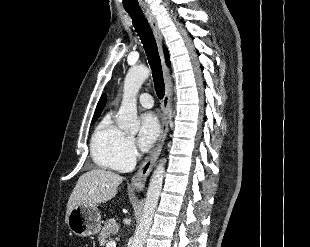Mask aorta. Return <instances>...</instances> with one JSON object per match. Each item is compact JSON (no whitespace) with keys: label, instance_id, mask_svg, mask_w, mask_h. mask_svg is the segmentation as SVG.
<instances>
[{"label":"aorta","instance_id":"obj_1","mask_svg":"<svg viewBox=\"0 0 310 247\" xmlns=\"http://www.w3.org/2000/svg\"><path fill=\"white\" fill-rule=\"evenodd\" d=\"M149 75L150 71L147 67H132L124 80L123 99L118 112L117 124L120 129L131 134L137 133L140 128V122L137 117V94ZM165 162V159H161L151 176L143 214L136 227L131 247L144 246L161 194Z\"/></svg>","mask_w":310,"mask_h":247}]
</instances>
